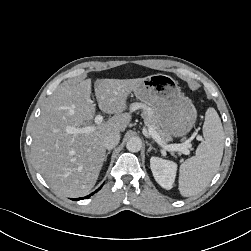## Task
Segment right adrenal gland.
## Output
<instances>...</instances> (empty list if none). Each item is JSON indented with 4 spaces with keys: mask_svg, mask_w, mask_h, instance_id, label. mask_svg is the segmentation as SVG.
<instances>
[{
    "mask_svg": "<svg viewBox=\"0 0 251 251\" xmlns=\"http://www.w3.org/2000/svg\"><path fill=\"white\" fill-rule=\"evenodd\" d=\"M110 152H111V151H108V152L105 154V157H104V162H106L107 157H108V155L110 154Z\"/></svg>",
    "mask_w": 251,
    "mask_h": 251,
    "instance_id": "obj_1",
    "label": "right adrenal gland"
}]
</instances>
